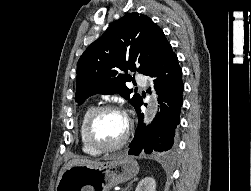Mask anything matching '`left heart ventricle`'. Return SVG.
<instances>
[{
  "label": "left heart ventricle",
  "mask_w": 251,
  "mask_h": 191,
  "mask_svg": "<svg viewBox=\"0 0 251 191\" xmlns=\"http://www.w3.org/2000/svg\"><path fill=\"white\" fill-rule=\"evenodd\" d=\"M124 131V119L116 112L106 111L95 121L92 133L96 142L109 146L120 141Z\"/></svg>",
  "instance_id": "obj_1"
}]
</instances>
